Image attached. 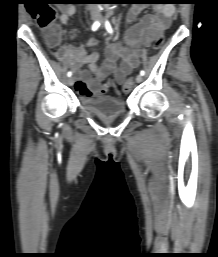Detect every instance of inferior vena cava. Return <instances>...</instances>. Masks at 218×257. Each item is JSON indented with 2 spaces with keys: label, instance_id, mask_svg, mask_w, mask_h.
<instances>
[{
  "label": "inferior vena cava",
  "instance_id": "inferior-vena-cava-1",
  "mask_svg": "<svg viewBox=\"0 0 218 257\" xmlns=\"http://www.w3.org/2000/svg\"><path fill=\"white\" fill-rule=\"evenodd\" d=\"M90 8L99 11L100 10V4H90Z\"/></svg>",
  "mask_w": 218,
  "mask_h": 257
}]
</instances>
